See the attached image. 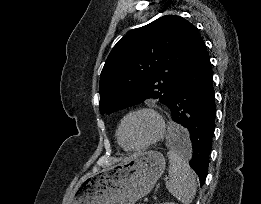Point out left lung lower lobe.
Returning a JSON list of instances; mask_svg holds the SVG:
<instances>
[{"label": "left lung lower lobe", "mask_w": 261, "mask_h": 204, "mask_svg": "<svg viewBox=\"0 0 261 204\" xmlns=\"http://www.w3.org/2000/svg\"><path fill=\"white\" fill-rule=\"evenodd\" d=\"M168 108L172 120L185 127L183 132H174L179 144L189 153V164L198 174L202 186L212 148L216 105L210 58L200 33Z\"/></svg>", "instance_id": "1"}]
</instances>
